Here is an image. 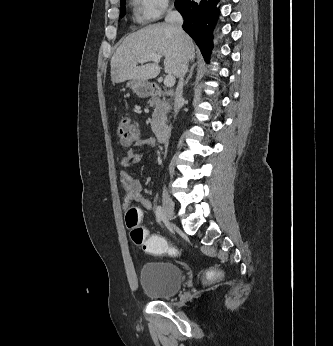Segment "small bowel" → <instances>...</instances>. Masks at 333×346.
<instances>
[{"instance_id":"1","label":"small bowel","mask_w":333,"mask_h":346,"mask_svg":"<svg viewBox=\"0 0 333 346\" xmlns=\"http://www.w3.org/2000/svg\"><path fill=\"white\" fill-rule=\"evenodd\" d=\"M156 141L154 138L139 139L135 147L140 148L144 146H155ZM144 158V153L136 152L135 149H130L126 156L122 159L121 164L124 167L131 166L139 163ZM120 181L126 191V203L136 201L141 204L145 209L151 210L152 203L142 195V184L134 178L128 171H122L120 174Z\"/></svg>"}]
</instances>
